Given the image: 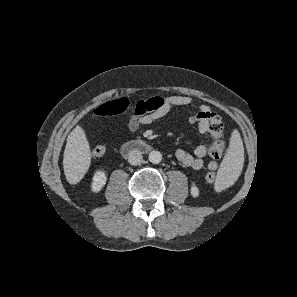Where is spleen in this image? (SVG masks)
<instances>
[{
  "label": "spleen",
  "instance_id": "obj_1",
  "mask_svg": "<svg viewBox=\"0 0 297 297\" xmlns=\"http://www.w3.org/2000/svg\"><path fill=\"white\" fill-rule=\"evenodd\" d=\"M244 164L243 142L238 130L231 134L230 145L220 170L219 182L223 186L231 185L240 175Z\"/></svg>",
  "mask_w": 297,
  "mask_h": 297
}]
</instances>
